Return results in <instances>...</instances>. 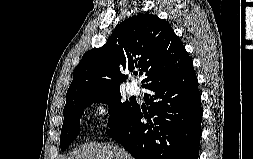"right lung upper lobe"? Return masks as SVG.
Returning <instances> with one entry per match:
<instances>
[{"label":"right lung upper lobe","mask_w":253,"mask_h":159,"mask_svg":"<svg viewBox=\"0 0 253 159\" xmlns=\"http://www.w3.org/2000/svg\"><path fill=\"white\" fill-rule=\"evenodd\" d=\"M193 62L170 24L152 14H138L121 23L105 45L87 51L74 71L66 104L72 100L119 90L123 70L139 68L142 87L177 76Z\"/></svg>","instance_id":"1"}]
</instances>
